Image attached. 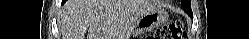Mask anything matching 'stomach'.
<instances>
[{
	"instance_id": "stomach-1",
	"label": "stomach",
	"mask_w": 249,
	"mask_h": 39,
	"mask_svg": "<svg viewBox=\"0 0 249 39\" xmlns=\"http://www.w3.org/2000/svg\"><path fill=\"white\" fill-rule=\"evenodd\" d=\"M168 20V14L161 8L148 10L134 23L133 35H141L161 26Z\"/></svg>"
}]
</instances>
